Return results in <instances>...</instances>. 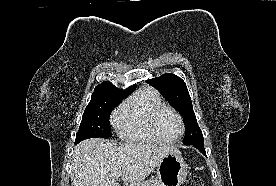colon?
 I'll return each instance as SVG.
<instances>
[{"label":"colon","instance_id":"obj_1","mask_svg":"<svg viewBox=\"0 0 276 186\" xmlns=\"http://www.w3.org/2000/svg\"><path fill=\"white\" fill-rule=\"evenodd\" d=\"M183 186H205L204 181L199 177H192Z\"/></svg>","mask_w":276,"mask_h":186}]
</instances>
